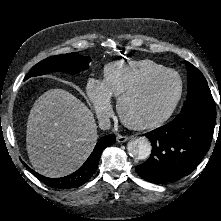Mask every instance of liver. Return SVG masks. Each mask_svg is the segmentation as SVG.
<instances>
[{
    "instance_id": "1",
    "label": "liver",
    "mask_w": 221,
    "mask_h": 221,
    "mask_svg": "<svg viewBox=\"0 0 221 221\" xmlns=\"http://www.w3.org/2000/svg\"><path fill=\"white\" fill-rule=\"evenodd\" d=\"M97 138L93 113L66 90L46 91L30 110L26 148L34 170L41 175L71 174L89 157Z\"/></svg>"
}]
</instances>
